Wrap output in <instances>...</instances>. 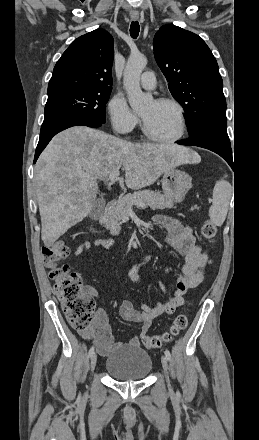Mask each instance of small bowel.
<instances>
[{"label":"small bowel","instance_id":"1","mask_svg":"<svg viewBox=\"0 0 259 440\" xmlns=\"http://www.w3.org/2000/svg\"><path fill=\"white\" fill-rule=\"evenodd\" d=\"M153 221L165 228V243L172 248L183 261L176 274V289L166 301H159L153 305L142 304L140 309L134 307L130 300H124L119 308V315L125 321L141 324V333L133 336L129 344L139 346L141 340L151 327L154 319L161 314H172L178 306L184 303V295L189 290H195L203 280L204 268L211 262L208 254L197 244L191 227L183 225L180 221L156 216ZM114 240L110 238H96L93 244L100 248H109ZM89 241L82 242L75 251V257L86 255L90 250ZM150 255H145L138 263L134 264L128 272L131 281L137 284L143 283L140 269L149 261ZM162 292L167 293L168 287L162 281H158ZM79 334L86 340L93 341L101 355H107L121 343H115L103 309H98L92 325Z\"/></svg>","mask_w":259,"mask_h":440}]
</instances>
